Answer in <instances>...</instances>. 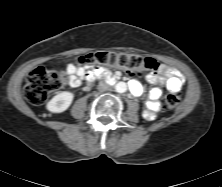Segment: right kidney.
Instances as JSON below:
<instances>
[{"label": "right kidney", "instance_id": "1", "mask_svg": "<svg viewBox=\"0 0 222 187\" xmlns=\"http://www.w3.org/2000/svg\"><path fill=\"white\" fill-rule=\"evenodd\" d=\"M72 92L64 91L54 96L46 105L48 111L52 113H61L69 108L73 101Z\"/></svg>", "mask_w": 222, "mask_h": 187}]
</instances>
